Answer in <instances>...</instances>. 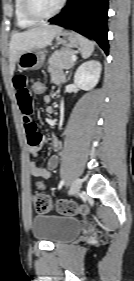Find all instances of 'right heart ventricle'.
<instances>
[{
	"label": "right heart ventricle",
	"mask_w": 134,
	"mask_h": 281,
	"mask_svg": "<svg viewBox=\"0 0 134 281\" xmlns=\"http://www.w3.org/2000/svg\"><path fill=\"white\" fill-rule=\"evenodd\" d=\"M15 21L19 28L26 29L36 25L37 21L29 18L24 10L22 0H14Z\"/></svg>",
	"instance_id": "1"
}]
</instances>
